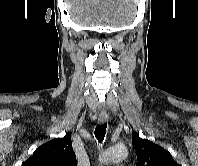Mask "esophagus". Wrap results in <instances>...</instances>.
<instances>
[{"label":"esophagus","instance_id":"obj_1","mask_svg":"<svg viewBox=\"0 0 198 166\" xmlns=\"http://www.w3.org/2000/svg\"><path fill=\"white\" fill-rule=\"evenodd\" d=\"M108 119H109L108 114H104V113H103V114H100V115H99V117H98V122H99L100 124H103V123L107 122Z\"/></svg>","mask_w":198,"mask_h":166}]
</instances>
